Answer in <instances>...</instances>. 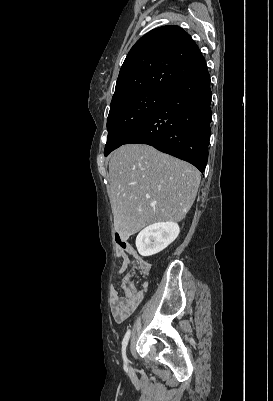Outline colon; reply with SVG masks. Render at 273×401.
<instances>
[{"label": "colon", "mask_w": 273, "mask_h": 401, "mask_svg": "<svg viewBox=\"0 0 273 401\" xmlns=\"http://www.w3.org/2000/svg\"><path fill=\"white\" fill-rule=\"evenodd\" d=\"M118 256L119 257H125L126 256V251L125 250H119L118 251ZM122 274H127V270H132L135 267L134 262L132 261H125L122 264ZM152 268V263L150 261H141L139 263V267L137 268V275L138 276H147L148 275V270ZM136 281L134 278H126L124 281V284H119L118 288H114L113 290V295L114 297H125L126 293H133L135 292V295H140V292L142 290L141 285L136 284Z\"/></svg>", "instance_id": "1"}]
</instances>
